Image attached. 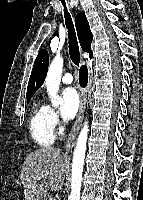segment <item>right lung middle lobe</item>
<instances>
[{
	"instance_id": "dd1d6c3e",
	"label": "right lung middle lobe",
	"mask_w": 143,
	"mask_h": 200,
	"mask_svg": "<svg viewBox=\"0 0 143 200\" xmlns=\"http://www.w3.org/2000/svg\"><path fill=\"white\" fill-rule=\"evenodd\" d=\"M30 99L27 100V103H29Z\"/></svg>"
}]
</instances>
